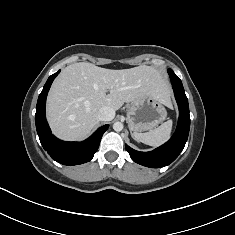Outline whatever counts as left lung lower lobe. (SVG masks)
I'll return each mask as SVG.
<instances>
[{"label": "left lung lower lobe", "mask_w": 235, "mask_h": 235, "mask_svg": "<svg viewBox=\"0 0 235 235\" xmlns=\"http://www.w3.org/2000/svg\"><path fill=\"white\" fill-rule=\"evenodd\" d=\"M168 73L179 107V120L174 135L164 145L150 152H139L126 145L133 161L150 168H161L172 163L183 150L190 129L188 100L182 82L172 70L169 69Z\"/></svg>", "instance_id": "obj_1"}]
</instances>
